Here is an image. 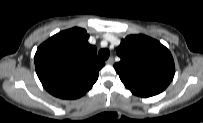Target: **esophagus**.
Listing matches in <instances>:
<instances>
[{
  "label": "esophagus",
  "mask_w": 203,
  "mask_h": 123,
  "mask_svg": "<svg viewBox=\"0 0 203 123\" xmlns=\"http://www.w3.org/2000/svg\"><path fill=\"white\" fill-rule=\"evenodd\" d=\"M113 63H114L113 57H110V58L106 61V64H108V65H112Z\"/></svg>",
  "instance_id": "34e87169"
}]
</instances>
